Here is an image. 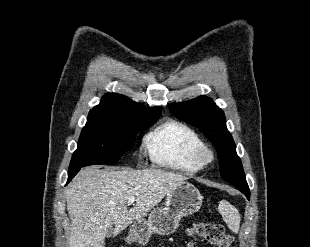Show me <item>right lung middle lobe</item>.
Masks as SVG:
<instances>
[{"label":"right lung middle lobe","mask_w":310,"mask_h":247,"mask_svg":"<svg viewBox=\"0 0 310 247\" xmlns=\"http://www.w3.org/2000/svg\"><path fill=\"white\" fill-rule=\"evenodd\" d=\"M160 116L130 120L109 116H88L69 170L95 164H116L134 144L138 132L153 125Z\"/></svg>","instance_id":"1"}]
</instances>
